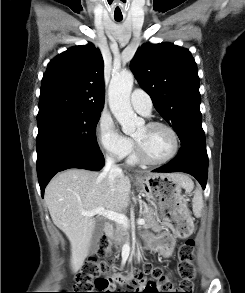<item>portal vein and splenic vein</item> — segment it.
Instances as JSON below:
<instances>
[{"instance_id": "18ae733b", "label": "portal vein and splenic vein", "mask_w": 245, "mask_h": 293, "mask_svg": "<svg viewBox=\"0 0 245 293\" xmlns=\"http://www.w3.org/2000/svg\"><path fill=\"white\" fill-rule=\"evenodd\" d=\"M82 215L84 216H94V215H101L109 220H112V221H115L116 223L118 224H121L125 227H129L130 224H129V220L128 218L124 215V214H120V213H117V212H113V211H109V210H105V208L103 207H98L94 210H91V211H82L81 212ZM137 224L138 225H144L145 224V220L142 219V218H139L137 220Z\"/></svg>"}]
</instances>
